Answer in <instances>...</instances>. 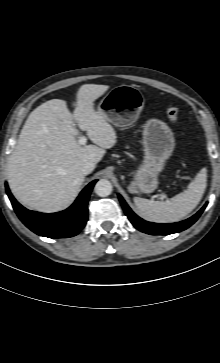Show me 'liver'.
<instances>
[{"label": "liver", "instance_id": "obj_1", "mask_svg": "<svg viewBox=\"0 0 220 363\" xmlns=\"http://www.w3.org/2000/svg\"><path fill=\"white\" fill-rule=\"evenodd\" d=\"M108 89L82 85L73 114L61 99L49 100L29 114L7 167L9 187L19 202L40 212H56L74 200L85 180L82 165L98 163L117 142L114 128L94 109V101ZM76 125L96 145L80 146Z\"/></svg>", "mask_w": 220, "mask_h": 363}]
</instances>
